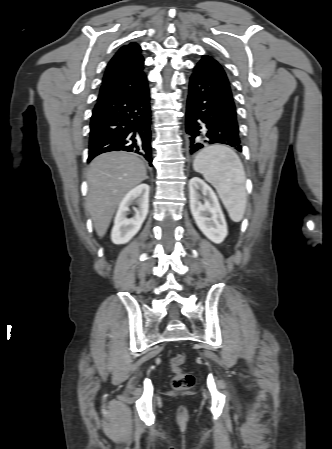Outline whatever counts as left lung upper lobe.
I'll use <instances>...</instances> for the list:
<instances>
[{
  "instance_id": "5c2ea615",
  "label": "left lung upper lobe",
  "mask_w": 332,
  "mask_h": 449,
  "mask_svg": "<svg viewBox=\"0 0 332 449\" xmlns=\"http://www.w3.org/2000/svg\"><path fill=\"white\" fill-rule=\"evenodd\" d=\"M200 61L210 62V63H213V64L219 66L220 68H222V66L214 58H212L211 56H208V55H204Z\"/></svg>"
}]
</instances>
